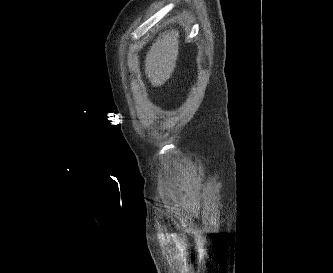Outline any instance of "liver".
Returning <instances> with one entry per match:
<instances>
[{
  "label": "liver",
  "mask_w": 333,
  "mask_h": 273,
  "mask_svg": "<svg viewBox=\"0 0 333 273\" xmlns=\"http://www.w3.org/2000/svg\"><path fill=\"white\" fill-rule=\"evenodd\" d=\"M177 55L178 31L168 30L160 34L145 59V74L154 87L163 85L170 78Z\"/></svg>",
  "instance_id": "1"
}]
</instances>
